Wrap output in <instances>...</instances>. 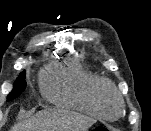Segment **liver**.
Here are the masks:
<instances>
[{
	"label": "liver",
	"instance_id": "obj_1",
	"mask_svg": "<svg viewBox=\"0 0 151 131\" xmlns=\"http://www.w3.org/2000/svg\"><path fill=\"white\" fill-rule=\"evenodd\" d=\"M95 122V119L76 112L48 110L15 124L11 131H87Z\"/></svg>",
	"mask_w": 151,
	"mask_h": 131
}]
</instances>
